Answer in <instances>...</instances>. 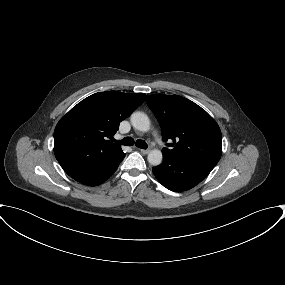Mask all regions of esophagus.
I'll list each match as a JSON object with an SVG mask.
<instances>
[{"label":"esophagus","instance_id":"1","mask_svg":"<svg viewBox=\"0 0 285 285\" xmlns=\"http://www.w3.org/2000/svg\"><path fill=\"white\" fill-rule=\"evenodd\" d=\"M149 149H140V152L142 153V154H148L149 153Z\"/></svg>","mask_w":285,"mask_h":285}]
</instances>
